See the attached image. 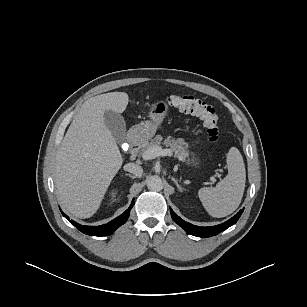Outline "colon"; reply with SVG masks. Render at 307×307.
Here are the masks:
<instances>
[{
	"label": "colon",
	"mask_w": 307,
	"mask_h": 307,
	"mask_svg": "<svg viewBox=\"0 0 307 307\" xmlns=\"http://www.w3.org/2000/svg\"><path fill=\"white\" fill-rule=\"evenodd\" d=\"M168 103L181 112L198 117L207 129L208 138L211 142L219 140L218 115L215 109L200 99L191 96L172 95L167 98Z\"/></svg>",
	"instance_id": "obj_1"
}]
</instances>
